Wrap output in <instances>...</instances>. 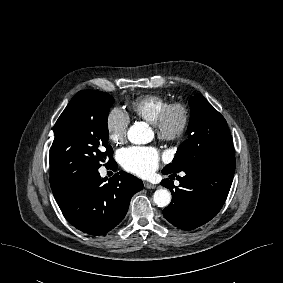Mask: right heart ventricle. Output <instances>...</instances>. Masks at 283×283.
<instances>
[{
  "mask_svg": "<svg viewBox=\"0 0 283 283\" xmlns=\"http://www.w3.org/2000/svg\"><path fill=\"white\" fill-rule=\"evenodd\" d=\"M169 99L159 94H144L129 105L130 112L147 122L154 124Z\"/></svg>",
  "mask_w": 283,
  "mask_h": 283,
  "instance_id": "e07e8e85",
  "label": "right heart ventricle"
}]
</instances>
